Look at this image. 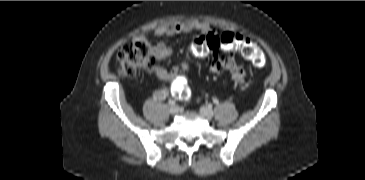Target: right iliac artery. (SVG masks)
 Returning a JSON list of instances; mask_svg holds the SVG:
<instances>
[{
	"label": "right iliac artery",
	"mask_w": 365,
	"mask_h": 180,
	"mask_svg": "<svg viewBox=\"0 0 365 180\" xmlns=\"http://www.w3.org/2000/svg\"><path fill=\"white\" fill-rule=\"evenodd\" d=\"M168 103H169L170 106H174L176 104V102L174 100H169Z\"/></svg>",
	"instance_id": "right-iliac-artery-1"
}]
</instances>
